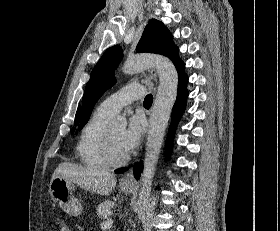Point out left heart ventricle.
<instances>
[{
  "label": "left heart ventricle",
  "mask_w": 280,
  "mask_h": 231,
  "mask_svg": "<svg viewBox=\"0 0 280 231\" xmlns=\"http://www.w3.org/2000/svg\"><path fill=\"white\" fill-rule=\"evenodd\" d=\"M109 133L111 138V144L113 148V152L116 156H123L125 155L119 147V136L123 131V127H109Z\"/></svg>",
  "instance_id": "1"
}]
</instances>
